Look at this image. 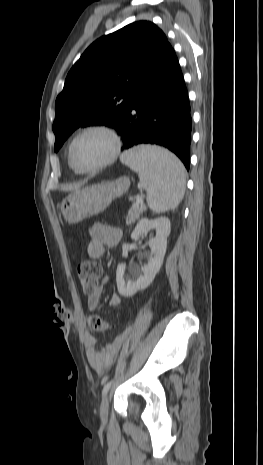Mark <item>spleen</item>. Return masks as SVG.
<instances>
[{
  "label": "spleen",
  "mask_w": 263,
  "mask_h": 465,
  "mask_svg": "<svg viewBox=\"0 0 263 465\" xmlns=\"http://www.w3.org/2000/svg\"><path fill=\"white\" fill-rule=\"evenodd\" d=\"M121 159L138 173L153 212H165L180 204L185 192L186 170L174 154L157 146L141 145L125 152Z\"/></svg>",
  "instance_id": "3e777b00"
}]
</instances>
